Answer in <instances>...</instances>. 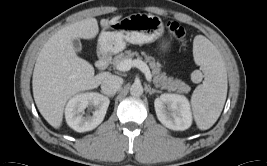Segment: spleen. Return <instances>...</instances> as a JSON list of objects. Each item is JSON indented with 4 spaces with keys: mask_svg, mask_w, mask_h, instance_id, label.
Masks as SVG:
<instances>
[{
    "mask_svg": "<svg viewBox=\"0 0 267 166\" xmlns=\"http://www.w3.org/2000/svg\"><path fill=\"white\" fill-rule=\"evenodd\" d=\"M193 56L205 78L194 90L191 105L198 128L207 130L223 110L227 96V73L218 50L202 35L194 39Z\"/></svg>",
    "mask_w": 267,
    "mask_h": 166,
    "instance_id": "spleen-1",
    "label": "spleen"
}]
</instances>
